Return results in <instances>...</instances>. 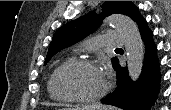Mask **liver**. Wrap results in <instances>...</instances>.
Listing matches in <instances>:
<instances>
[{"label": "liver", "instance_id": "obj_1", "mask_svg": "<svg viewBox=\"0 0 171 110\" xmlns=\"http://www.w3.org/2000/svg\"><path fill=\"white\" fill-rule=\"evenodd\" d=\"M83 109L85 110H90V109H96V110H108L107 107H103V106H100V105H96V106H85L83 107Z\"/></svg>", "mask_w": 171, "mask_h": 110}]
</instances>
